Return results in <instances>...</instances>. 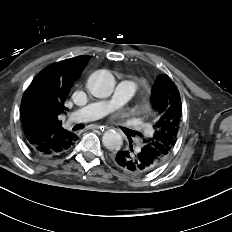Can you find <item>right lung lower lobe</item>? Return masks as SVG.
Listing matches in <instances>:
<instances>
[{
  "label": "right lung lower lobe",
  "instance_id": "obj_1",
  "mask_svg": "<svg viewBox=\"0 0 232 232\" xmlns=\"http://www.w3.org/2000/svg\"><path fill=\"white\" fill-rule=\"evenodd\" d=\"M22 127L28 147L39 156L49 157L65 153L78 139L76 134L63 130L51 134L47 140L38 143L36 138L39 135V130L32 124L31 120H22Z\"/></svg>",
  "mask_w": 232,
  "mask_h": 232
}]
</instances>
